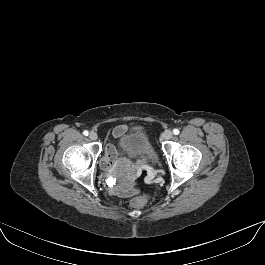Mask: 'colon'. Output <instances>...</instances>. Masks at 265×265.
<instances>
[{
    "instance_id": "obj_1",
    "label": "colon",
    "mask_w": 265,
    "mask_h": 265,
    "mask_svg": "<svg viewBox=\"0 0 265 265\" xmlns=\"http://www.w3.org/2000/svg\"><path fill=\"white\" fill-rule=\"evenodd\" d=\"M147 204V197L146 196H137L131 200V206L133 208H143Z\"/></svg>"
}]
</instances>
